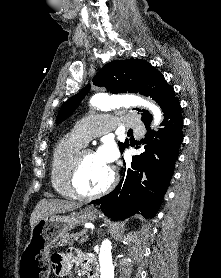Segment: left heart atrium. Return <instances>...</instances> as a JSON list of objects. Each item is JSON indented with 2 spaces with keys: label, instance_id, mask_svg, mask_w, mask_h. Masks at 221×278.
Returning a JSON list of instances; mask_svg holds the SVG:
<instances>
[{
  "label": "left heart atrium",
  "instance_id": "39dd6f15",
  "mask_svg": "<svg viewBox=\"0 0 221 278\" xmlns=\"http://www.w3.org/2000/svg\"><path fill=\"white\" fill-rule=\"evenodd\" d=\"M96 154L104 163L110 165L115 157V148L111 144H105Z\"/></svg>",
  "mask_w": 221,
  "mask_h": 278
}]
</instances>
